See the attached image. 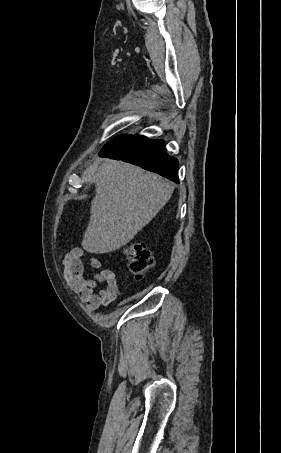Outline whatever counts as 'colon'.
<instances>
[{"label": "colon", "instance_id": "colon-1", "mask_svg": "<svg viewBox=\"0 0 281 453\" xmlns=\"http://www.w3.org/2000/svg\"><path fill=\"white\" fill-rule=\"evenodd\" d=\"M123 250L130 271L136 275L143 276L150 267L156 265V258L144 242L131 241Z\"/></svg>", "mask_w": 281, "mask_h": 453}]
</instances>
